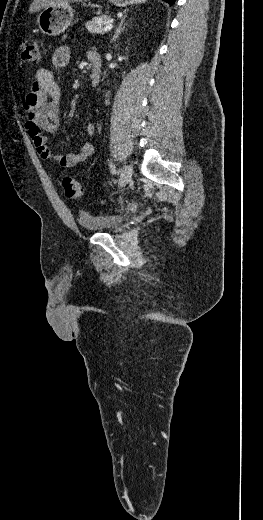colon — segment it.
I'll return each mask as SVG.
<instances>
[{
  "mask_svg": "<svg viewBox=\"0 0 263 520\" xmlns=\"http://www.w3.org/2000/svg\"><path fill=\"white\" fill-rule=\"evenodd\" d=\"M22 59L27 62L36 63L39 61V44L35 39H29L25 42L22 52ZM63 188L65 194L69 198H79L82 195V188L79 181L72 176L63 179Z\"/></svg>",
  "mask_w": 263,
  "mask_h": 520,
  "instance_id": "obj_1",
  "label": "colon"
}]
</instances>
